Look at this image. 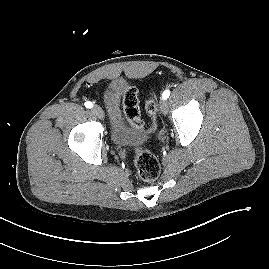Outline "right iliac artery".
I'll return each instance as SVG.
<instances>
[{
  "mask_svg": "<svg viewBox=\"0 0 269 269\" xmlns=\"http://www.w3.org/2000/svg\"><path fill=\"white\" fill-rule=\"evenodd\" d=\"M85 107L86 108H92L93 107V104L89 101L85 102Z\"/></svg>",
  "mask_w": 269,
  "mask_h": 269,
  "instance_id": "1",
  "label": "right iliac artery"
}]
</instances>
